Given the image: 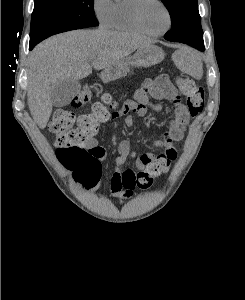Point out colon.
Instances as JSON below:
<instances>
[{"label":"colon","mask_w":245,"mask_h":300,"mask_svg":"<svg viewBox=\"0 0 245 300\" xmlns=\"http://www.w3.org/2000/svg\"><path fill=\"white\" fill-rule=\"evenodd\" d=\"M177 84L181 93L186 96L190 115L195 117L200 114L205 104L204 90L188 77L178 78ZM91 96V90L84 86L72 99L71 106L82 107ZM113 106L112 96L106 94L101 102L93 105L90 113L76 118L72 110L59 109L50 123V129L56 135L57 157L86 187H93L101 173L99 152L88 144L97 134L100 125L110 117ZM135 184L137 188L147 189L152 185V177L147 173H139Z\"/></svg>","instance_id":"5ec220e1"}]
</instances>
